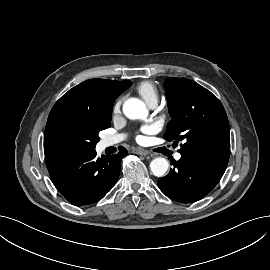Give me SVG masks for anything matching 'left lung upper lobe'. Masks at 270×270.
<instances>
[{"mask_svg":"<svg viewBox=\"0 0 270 270\" xmlns=\"http://www.w3.org/2000/svg\"><path fill=\"white\" fill-rule=\"evenodd\" d=\"M171 121L164 138L182 141L181 154H208L229 159V122L218 98L209 90L187 78L166 80Z\"/></svg>","mask_w":270,"mask_h":270,"instance_id":"left-lung-upper-lobe-1","label":"left lung upper lobe"}]
</instances>
